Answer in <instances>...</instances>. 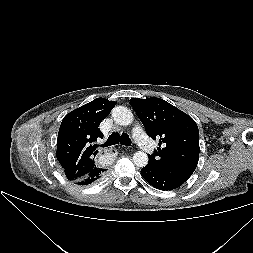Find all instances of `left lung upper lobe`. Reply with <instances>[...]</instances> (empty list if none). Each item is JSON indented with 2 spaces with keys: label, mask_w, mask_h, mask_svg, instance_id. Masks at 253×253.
<instances>
[{
  "label": "left lung upper lobe",
  "mask_w": 253,
  "mask_h": 253,
  "mask_svg": "<svg viewBox=\"0 0 253 253\" xmlns=\"http://www.w3.org/2000/svg\"><path fill=\"white\" fill-rule=\"evenodd\" d=\"M130 103L146 133L159 140V147L148 155V164L185 182L199 160V131L186 113L160 98H132Z\"/></svg>",
  "instance_id": "left-lung-upper-lobe-1"
}]
</instances>
